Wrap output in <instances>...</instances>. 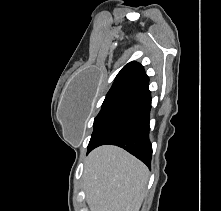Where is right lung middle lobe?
<instances>
[{"label": "right lung middle lobe", "instance_id": "1", "mask_svg": "<svg viewBox=\"0 0 221 211\" xmlns=\"http://www.w3.org/2000/svg\"><path fill=\"white\" fill-rule=\"evenodd\" d=\"M137 93L133 90H118L107 93L102 108L94 119V130L89 143L98 137Z\"/></svg>", "mask_w": 221, "mask_h": 211}]
</instances>
